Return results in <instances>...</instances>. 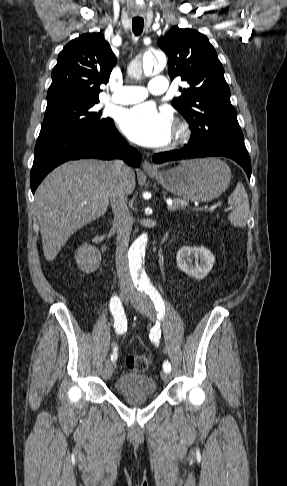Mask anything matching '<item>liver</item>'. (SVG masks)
Masks as SVG:
<instances>
[{"instance_id": "obj_1", "label": "liver", "mask_w": 287, "mask_h": 486, "mask_svg": "<svg viewBox=\"0 0 287 486\" xmlns=\"http://www.w3.org/2000/svg\"><path fill=\"white\" fill-rule=\"evenodd\" d=\"M112 162L85 159L66 162L54 169L35 193V209L47 261L55 259L71 235L104 215L109 206ZM129 169L125 193L135 188Z\"/></svg>"}]
</instances>
